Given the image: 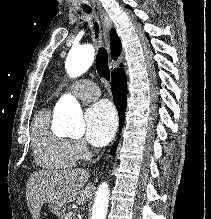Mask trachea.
Here are the masks:
<instances>
[{
    "mask_svg": "<svg viewBox=\"0 0 211 219\" xmlns=\"http://www.w3.org/2000/svg\"><path fill=\"white\" fill-rule=\"evenodd\" d=\"M83 11L87 14L91 13V8L89 6H83ZM95 37L98 38L99 25L94 22ZM96 70L100 77L109 80L110 70L108 66V55L105 48L100 47L96 56Z\"/></svg>",
    "mask_w": 211,
    "mask_h": 219,
    "instance_id": "trachea-1",
    "label": "trachea"
}]
</instances>
